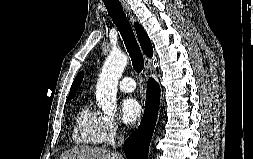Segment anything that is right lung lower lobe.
<instances>
[{"label": "right lung lower lobe", "mask_w": 253, "mask_h": 159, "mask_svg": "<svg viewBox=\"0 0 253 159\" xmlns=\"http://www.w3.org/2000/svg\"><path fill=\"white\" fill-rule=\"evenodd\" d=\"M159 101V86L153 79H150L147 85L146 107L141 124L124 143L123 148L127 159H148L149 144L155 127Z\"/></svg>", "instance_id": "obj_1"}]
</instances>
